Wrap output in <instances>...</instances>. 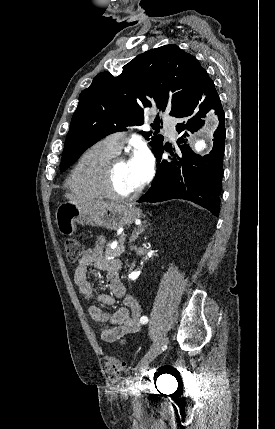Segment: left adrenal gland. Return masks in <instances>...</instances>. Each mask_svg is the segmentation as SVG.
<instances>
[{
  "label": "left adrenal gland",
  "instance_id": "1",
  "mask_svg": "<svg viewBox=\"0 0 275 429\" xmlns=\"http://www.w3.org/2000/svg\"><path fill=\"white\" fill-rule=\"evenodd\" d=\"M147 220L143 221V224H141L137 229H134L132 232V235L130 237V243H133L136 241V239L139 237V235L144 232L145 228L147 227Z\"/></svg>",
  "mask_w": 275,
  "mask_h": 429
}]
</instances>
